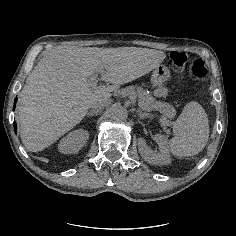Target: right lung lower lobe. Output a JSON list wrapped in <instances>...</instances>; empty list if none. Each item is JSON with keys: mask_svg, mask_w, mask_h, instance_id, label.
Here are the masks:
<instances>
[{"mask_svg": "<svg viewBox=\"0 0 236 236\" xmlns=\"http://www.w3.org/2000/svg\"><path fill=\"white\" fill-rule=\"evenodd\" d=\"M16 101H17V98H15V102H14L13 109H15ZM14 130H15V132H17V125H16V122H14Z\"/></svg>", "mask_w": 236, "mask_h": 236, "instance_id": "right-lung-lower-lobe-1", "label": "right lung lower lobe"}]
</instances>
